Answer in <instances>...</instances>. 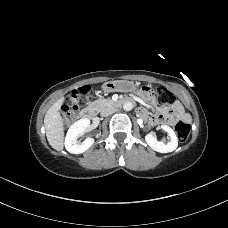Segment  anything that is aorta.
<instances>
[{
	"mask_svg": "<svg viewBox=\"0 0 228 228\" xmlns=\"http://www.w3.org/2000/svg\"><path fill=\"white\" fill-rule=\"evenodd\" d=\"M132 108H133V104H132L131 102H125V103L123 104V109H124L125 111H131Z\"/></svg>",
	"mask_w": 228,
	"mask_h": 228,
	"instance_id": "762f6f07",
	"label": "aorta"
}]
</instances>
